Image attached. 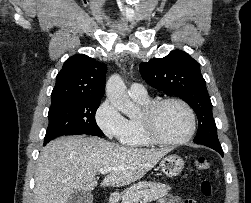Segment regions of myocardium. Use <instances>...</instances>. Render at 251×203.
Here are the masks:
<instances>
[{
  "label": "myocardium",
  "instance_id": "1",
  "mask_svg": "<svg viewBox=\"0 0 251 203\" xmlns=\"http://www.w3.org/2000/svg\"><path fill=\"white\" fill-rule=\"evenodd\" d=\"M168 103L180 104L188 113L190 119V127L188 132L180 139L168 140L162 138L156 131L155 119L160 108ZM142 131L147 140L152 144L163 146H178L188 142L194 135L197 127V118L193 108L188 102L179 97H166L150 102L144 107L142 116L140 117Z\"/></svg>",
  "mask_w": 251,
  "mask_h": 203
}]
</instances>
